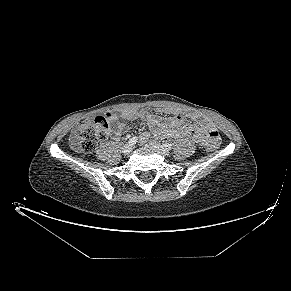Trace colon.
<instances>
[{"mask_svg": "<svg viewBox=\"0 0 291 291\" xmlns=\"http://www.w3.org/2000/svg\"><path fill=\"white\" fill-rule=\"evenodd\" d=\"M113 121L114 116L109 113L80 120L70 138L72 146L86 153L92 152L100 141L107 138ZM205 145L209 150L217 149L220 145L218 133H212Z\"/></svg>", "mask_w": 291, "mask_h": 291, "instance_id": "obj_1", "label": "colon"}]
</instances>
